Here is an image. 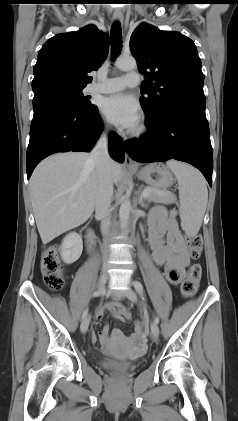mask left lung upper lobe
I'll return each instance as SVG.
<instances>
[{"instance_id":"1","label":"left lung upper lobe","mask_w":238,"mask_h":421,"mask_svg":"<svg viewBox=\"0 0 238 421\" xmlns=\"http://www.w3.org/2000/svg\"><path fill=\"white\" fill-rule=\"evenodd\" d=\"M130 49L146 75L140 102L146 119L154 120L169 104L204 96V75L196 45L179 32L161 31L141 23L133 31Z\"/></svg>"}]
</instances>
